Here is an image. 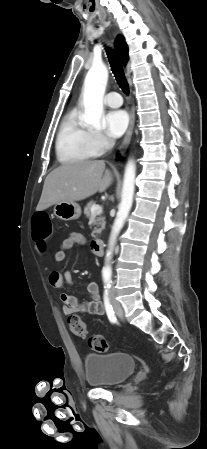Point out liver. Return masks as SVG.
Returning <instances> with one entry per match:
<instances>
[{"label":"liver","instance_id":"liver-1","mask_svg":"<svg viewBox=\"0 0 207 449\" xmlns=\"http://www.w3.org/2000/svg\"><path fill=\"white\" fill-rule=\"evenodd\" d=\"M113 181L104 161H78L63 164L46 177L36 210L42 211L60 202L84 200L103 192Z\"/></svg>","mask_w":207,"mask_h":449}]
</instances>
